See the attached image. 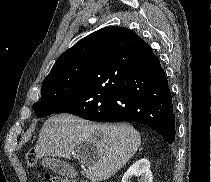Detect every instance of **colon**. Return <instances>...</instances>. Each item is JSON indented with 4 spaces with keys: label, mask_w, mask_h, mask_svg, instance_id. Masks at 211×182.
<instances>
[{
    "label": "colon",
    "mask_w": 211,
    "mask_h": 182,
    "mask_svg": "<svg viewBox=\"0 0 211 182\" xmlns=\"http://www.w3.org/2000/svg\"><path fill=\"white\" fill-rule=\"evenodd\" d=\"M37 162V156L35 151L31 150L28 151L26 154V163L29 167L35 166ZM46 181L47 182H89L86 180H80V179H68V178H63L61 176H56V175H51V174H46Z\"/></svg>",
    "instance_id": "5ec220e1"
}]
</instances>
